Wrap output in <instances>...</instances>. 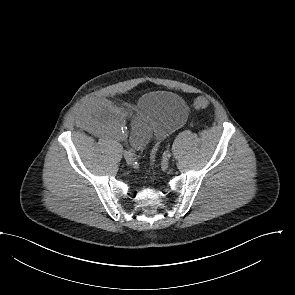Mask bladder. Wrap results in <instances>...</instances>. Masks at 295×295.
<instances>
[{"mask_svg": "<svg viewBox=\"0 0 295 295\" xmlns=\"http://www.w3.org/2000/svg\"><path fill=\"white\" fill-rule=\"evenodd\" d=\"M188 107L184 99L171 91H151L143 95L135 116H143L151 123L152 131L164 137L184 124Z\"/></svg>", "mask_w": 295, "mask_h": 295, "instance_id": "bladder-1", "label": "bladder"}]
</instances>
